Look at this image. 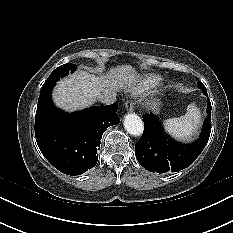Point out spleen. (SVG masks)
<instances>
[{
  "label": "spleen",
  "mask_w": 233,
  "mask_h": 233,
  "mask_svg": "<svg viewBox=\"0 0 233 233\" xmlns=\"http://www.w3.org/2000/svg\"><path fill=\"white\" fill-rule=\"evenodd\" d=\"M201 123V114L197 106L192 103L187 106V113L179 118L164 121L166 131L178 140H190Z\"/></svg>",
  "instance_id": "3e777b00"
}]
</instances>
